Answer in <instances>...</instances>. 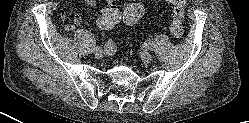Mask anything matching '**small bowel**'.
Segmentation results:
<instances>
[{
	"label": "small bowel",
	"mask_w": 249,
	"mask_h": 123,
	"mask_svg": "<svg viewBox=\"0 0 249 123\" xmlns=\"http://www.w3.org/2000/svg\"><path fill=\"white\" fill-rule=\"evenodd\" d=\"M82 2L90 5V6H96L98 3V0H81ZM167 3L171 4L170 0H165ZM104 2L108 4H113L115 0H104ZM60 19L65 22V13H60ZM74 25H87V22L84 21V19L79 15L75 14L72 18V23H66L64 25L65 29L67 31H71L74 29ZM99 25V24H98Z\"/></svg>",
	"instance_id": "obj_1"
}]
</instances>
